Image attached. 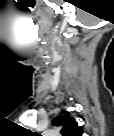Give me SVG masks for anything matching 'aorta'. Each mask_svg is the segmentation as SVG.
I'll return each instance as SVG.
<instances>
[{
	"mask_svg": "<svg viewBox=\"0 0 114 136\" xmlns=\"http://www.w3.org/2000/svg\"><path fill=\"white\" fill-rule=\"evenodd\" d=\"M45 135L46 136H55V135H57V133L56 132H47V133H45Z\"/></svg>",
	"mask_w": 114,
	"mask_h": 136,
	"instance_id": "762f6f07",
	"label": "aorta"
}]
</instances>
